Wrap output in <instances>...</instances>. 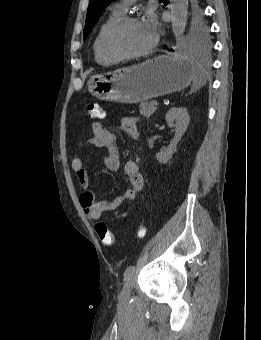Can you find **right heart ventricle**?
<instances>
[{"label":"right heart ventricle","mask_w":261,"mask_h":340,"mask_svg":"<svg viewBox=\"0 0 261 340\" xmlns=\"http://www.w3.org/2000/svg\"><path fill=\"white\" fill-rule=\"evenodd\" d=\"M122 17H123L122 13L112 10L110 14L105 18V20L101 23L97 30L92 48L95 61L99 65L108 66L118 61L106 53L103 46V41L107 31Z\"/></svg>","instance_id":"e07e8e85"}]
</instances>
